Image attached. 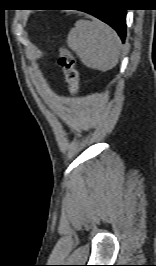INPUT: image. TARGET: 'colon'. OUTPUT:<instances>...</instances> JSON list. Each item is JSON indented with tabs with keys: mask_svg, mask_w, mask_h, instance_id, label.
<instances>
[{
	"mask_svg": "<svg viewBox=\"0 0 156 266\" xmlns=\"http://www.w3.org/2000/svg\"><path fill=\"white\" fill-rule=\"evenodd\" d=\"M58 63L64 72L69 92L75 95L78 91L79 72L76 68L74 55L64 46L59 48Z\"/></svg>",
	"mask_w": 156,
	"mask_h": 266,
	"instance_id": "colon-1",
	"label": "colon"
}]
</instances>
